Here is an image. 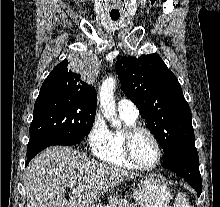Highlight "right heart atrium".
<instances>
[{"label": "right heart atrium", "mask_w": 220, "mask_h": 207, "mask_svg": "<svg viewBox=\"0 0 220 207\" xmlns=\"http://www.w3.org/2000/svg\"><path fill=\"white\" fill-rule=\"evenodd\" d=\"M107 134L108 128L103 117L96 113L92 118L87 135V143L93 153L103 145Z\"/></svg>", "instance_id": "d8ad5b80"}]
</instances>
